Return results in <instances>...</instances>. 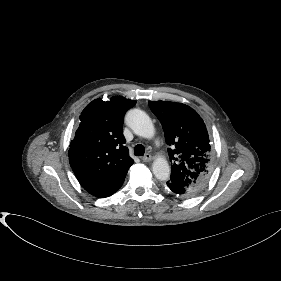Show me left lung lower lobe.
Instances as JSON below:
<instances>
[{"instance_id": "obj_1", "label": "left lung lower lobe", "mask_w": 281, "mask_h": 281, "mask_svg": "<svg viewBox=\"0 0 281 281\" xmlns=\"http://www.w3.org/2000/svg\"><path fill=\"white\" fill-rule=\"evenodd\" d=\"M165 188L169 193L182 198L192 197L195 193L194 190L186 189L184 187H180L172 183H167Z\"/></svg>"}]
</instances>
